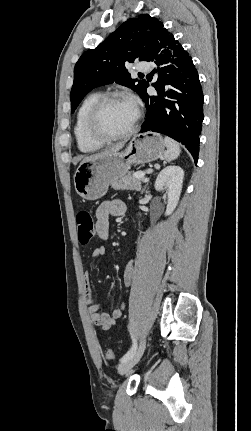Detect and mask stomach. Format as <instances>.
<instances>
[{
  "instance_id": "1",
  "label": "stomach",
  "mask_w": 251,
  "mask_h": 431,
  "mask_svg": "<svg viewBox=\"0 0 251 431\" xmlns=\"http://www.w3.org/2000/svg\"><path fill=\"white\" fill-rule=\"evenodd\" d=\"M164 141L158 134L134 136L125 149L79 165L74 174L77 194L84 200L103 197L109 184L125 176L131 165L157 160L163 155Z\"/></svg>"
}]
</instances>
